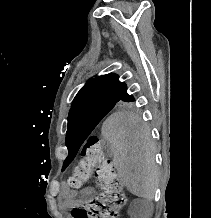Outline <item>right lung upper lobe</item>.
Here are the masks:
<instances>
[{
    "mask_svg": "<svg viewBox=\"0 0 211 218\" xmlns=\"http://www.w3.org/2000/svg\"><path fill=\"white\" fill-rule=\"evenodd\" d=\"M126 88L123 82L119 81L116 74H106L91 79L78 92L73 100L72 107L90 101L99 100H122Z\"/></svg>",
    "mask_w": 211,
    "mask_h": 218,
    "instance_id": "right-lung-upper-lobe-1",
    "label": "right lung upper lobe"
}]
</instances>
